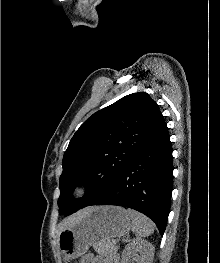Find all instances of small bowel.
I'll return each mask as SVG.
<instances>
[{"mask_svg": "<svg viewBox=\"0 0 220 263\" xmlns=\"http://www.w3.org/2000/svg\"><path fill=\"white\" fill-rule=\"evenodd\" d=\"M80 263H112V262L108 260H102V259L96 258L92 254H88L83 257Z\"/></svg>", "mask_w": 220, "mask_h": 263, "instance_id": "obj_1", "label": "small bowel"}]
</instances>
